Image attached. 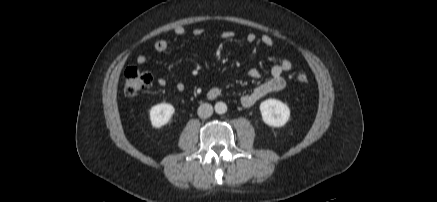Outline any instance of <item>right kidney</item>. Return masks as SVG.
<instances>
[{"label": "right kidney", "instance_id": "ca27d5eb", "mask_svg": "<svg viewBox=\"0 0 437 202\" xmlns=\"http://www.w3.org/2000/svg\"><path fill=\"white\" fill-rule=\"evenodd\" d=\"M174 112L175 109L171 104L161 103L153 106L149 114L152 126L160 128L166 125L170 121Z\"/></svg>", "mask_w": 437, "mask_h": 202}]
</instances>
